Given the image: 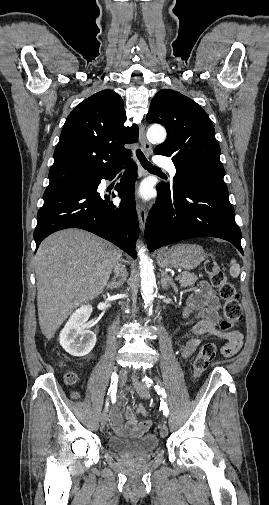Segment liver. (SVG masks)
I'll return each instance as SVG.
<instances>
[{
	"instance_id": "obj_1",
	"label": "liver",
	"mask_w": 269,
	"mask_h": 505,
	"mask_svg": "<svg viewBox=\"0 0 269 505\" xmlns=\"http://www.w3.org/2000/svg\"><path fill=\"white\" fill-rule=\"evenodd\" d=\"M121 257L112 243L80 229L47 237L35 255L39 325L50 340L69 314L97 298Z\"/></svg>"
}]
</instances>
